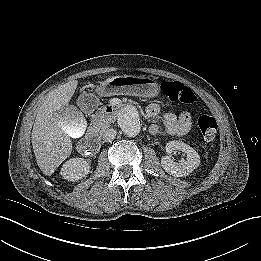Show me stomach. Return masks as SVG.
<instances>
[{
  "instance_id": "0dacf381",
  "label": "stomach",
  "mask_w": 261,
  "mask_h": 261,
  "mask_svg": "<svg viewBox=\"0 0 261 261\" xmlns=\"http://www.w3.org/2000/svg\"><path fill=\"white\" fill-rule=\"evenodd\" d=\"M96 92L99 96L105 97L113 95L154 97L158 94L159 87L151 78L124 75L100 82Z\"/></svg>"
}]
</instances>
